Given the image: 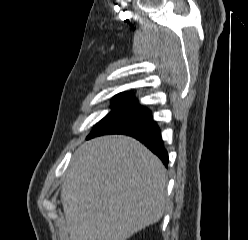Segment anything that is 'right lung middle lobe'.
<instances>
[{
	"mask_svg": "<svg viewBox=\"0 0 248 240\" xmlns=\"http://www.w3.org/2000/svg\"><path fill=\"white\" fill-rule=\"evenodd\" d=\"M134 103H135V100L130 98V97H124V96H119V95L115 96L114 97V103L112 105V111L105 118H107L108 116H110V115H112V114L134 104Z\"/></svg>",
	"mask_w": 248,
	"mask_h": 240,
	"instance_id": "1",
	"label": "right lung middle lobe"
}]
</instances>
